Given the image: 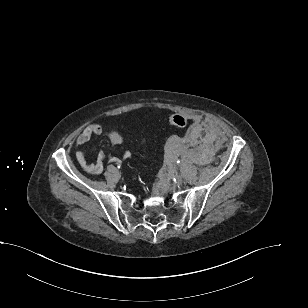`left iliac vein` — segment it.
Segmentation results:
<instances>
[{"label": "left iliac vein", "instance_id": "obj_1", "mask_svg": "<svg viewBox=\"0 0 308 308\" xmlns=\"http://www.w3.org/2000/svg\"><path fill=\"white\" fill-rule=\"evenodd\" d=\"M182 183H183V178L180 175H176L174 184L177 185V186H180V185H182Z\"/></svg>", "mask_w": 308, "mask_h": 308}]
</instances>
